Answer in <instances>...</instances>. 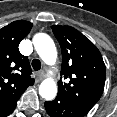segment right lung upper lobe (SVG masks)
Masks as SVG:
<instances>
[{"label": "right lung upper lobe", "instance_id": "cb5924a9", "mask_svg": "<svg viewBox=\"0 0 117 117\" xmlns=\"http://www.w3.org/2000/svg\"><path fill=\"white\" fill-rule=\"evenodd\" d=\"M32 28V23L18 20L0 29V117L13 112L21 94L31 85V67L18 46Z\"/></svg>", "mask_w": 117, "mask_h": 117}]
</instances>
